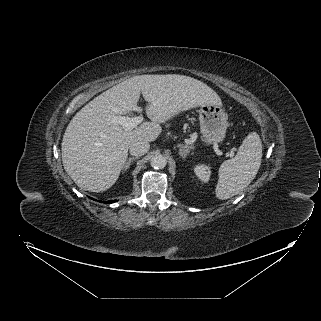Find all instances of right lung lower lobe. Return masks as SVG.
Masks as SVG:
<instances>
[{
  "label": "right lung lower lobe",
  "mask_w": 321,
  "mask_h": 321,
  "mask_svg": "<svg viewBox=\"0 0 321 321\" xmlns=\"http://www.w3.org/2000/svg\"><path fill=\"white\" fill-rule=\"evenodd\" d=\"M116 200L113 201H106L105 203H114Z\"/></svg>",
  "instance_id": "obj_1"
}]
</instances>
